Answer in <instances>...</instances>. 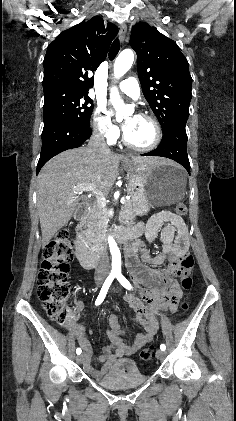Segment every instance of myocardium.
Instances as JSON below:
<instances>
[{"label":"myocardium","mask_w":236,"mask_h":421,"mask_svg":"<svg viewBox=\"0 0 236 421\" xmlns=\"http://www.w3.org/2000/svg\"><path fill=\"white\" fill-rule=\"evenodd\" d=\"M138 116H140L141 118L145 119L146 121H148L153 129H154V139L153 141L147 145V146H138L135 145L133 143H131L126 136V133H123V143L125 144V146H127L128 148L138 151V152H150L153 151L154 149H156L158 147V145L161 142L162 139V130L161 127L159 125V123L151 116L144 114V113H139L137 114Z\"/></svg>","instance_id":"myocardium-1"}]
</instances>
